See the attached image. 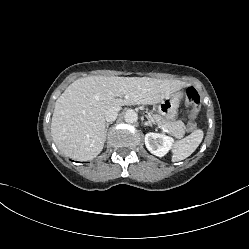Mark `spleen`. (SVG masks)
Segmentation results:
<instances>
[{"mask_svg": "<svg viewBox=\"0 0 249 249\" xmlns=\"http://www.w3.org/2000/svg\"><path fill=\"white\" fill-rule=\"evenodd\" d=\"M203 131L197 129L189 136L178 141L173 150L172 161L177 162L189 157L203 140Z\"/></svg>", "mask_w": 249, "mask_h": 249, "instance_id": "obj_1", "label": "spleen"}]
</instances>
